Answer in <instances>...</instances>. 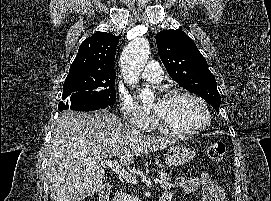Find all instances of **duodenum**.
Listing matches in <instances>:
<instances>
[{
    "mask_svg": "<svg viewBox=\"0 0 271 201\" xmlns=\"http://www.w3.org/2000/svg\"><path fill=\"white\" fill-rule=\"evenodd\" d=\"M112 191V185L111 183H106L104 184L99 192H98V201H109L110 199V194ZM171 195L169 193H165L160 201H171Z\"/></svg>",
    "mask_w": 271,
    "mask_h": 201,
    "instance_id": "obj_1",
    "label": "duodenum"
}]
</instances>
